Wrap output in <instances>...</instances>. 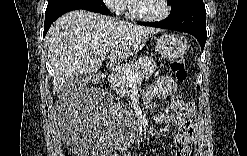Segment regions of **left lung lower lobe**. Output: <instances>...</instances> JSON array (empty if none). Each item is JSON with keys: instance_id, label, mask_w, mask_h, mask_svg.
Masks as SVG:
<instances>
[{"instance_id": "1", "label": "left lung lower lobe", "mask_w": 247, "mask_h": 156, "mask_svg": "<svg viewBox=\"0 0 247 156\" xmlns=\"http://www.w3.org/2000/svg\"><path fill=\"white\" fill-rule=\"evenodd\" d=\"M138 24L190 33L199 41L202 51L206 43V10L203 0L190 1L180 12L169 15L163 21Z\"/></svg>"}]
</instances>
